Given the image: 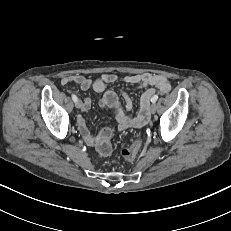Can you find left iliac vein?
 <instances>
[{
    "label": "left iliac vein",
    "mask_w": 231,
    "mask_h": 231,
    "mask_svg": "<svg viewBox=\"0 0 231 231\" xmlns=\"http://www.w3.org/2000/svg\"><path fill=\"white\" fill-rule=\"evenodd\" d=\"M156 108H157L156 104H155V103H152L151 106H150V112H151L152 114H154L155 111H156Z\"/></svg>",
    "instance_id": "left-iliac-vein-1"
}]
</instances>
